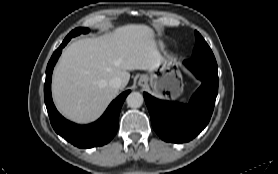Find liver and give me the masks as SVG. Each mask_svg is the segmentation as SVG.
<instances>
[{
  "instance_id": "obj_1",
  "label": "liver",
  "mask_w": 278,
  "mask_h": 174,
  "mask_svg": "<svg viewBox=\"0 0 278 174\" xmlns=\"http://www.w3.org/2000/svg\"><path fill=\"white\" fill-rule=\"evenodd\" d=\"M164 62L154 31L144 24H129L96 38L81 39L62 53L52 79V95L67 119L87 124L98 119L119 89L109 85L114 77L128 84V71H155Z\"/></svg>"
}]
</instances>
